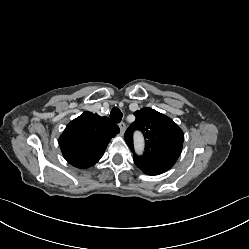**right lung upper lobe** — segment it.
Returning <instances> with one entry per match:
<instances>
[{"label":"right lung upper lobe","mask_w":249,"mask_h":249,"mask_svg":"<svg viewBox=\"0 0 249 249\" xmlns=\"http://www.w3.org/2000/svg\"><path fill=\"white\" fill-rule=\"evenodd\" d=\"M119 127L107 117L84 112L71 121L59 138L66 161L77 168L95 165Z\"/></svg>","instance_id":"obj_1"}]
</instances>
